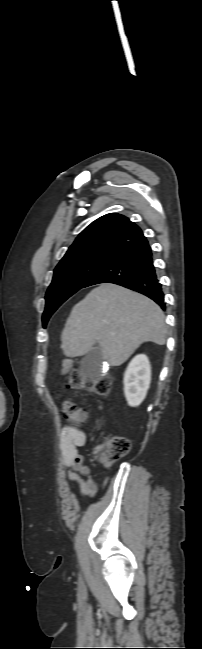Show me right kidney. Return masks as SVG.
<instances>
[{"label":"right kidney","mask_w":202,"mask_h":649,"mask_svg":"<svg viewBox=\"0 0 202 649\" xmlns=\"http://www.w3.org/2000/svg\"><path fill=\"white\" fill-rule=\"evenodd\" d=\"M151 381V367L146 355L135 356L129 363L123 378L127 403L136 407L145 399Z\"/></svg>","instance_id":"ca27d5eb"}]
</instances>
